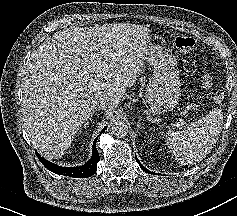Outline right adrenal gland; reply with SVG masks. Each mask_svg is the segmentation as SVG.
Here are the masks:
<instances>
[{"label": "right adrenal gland", "mask_w": 237, "mask_h": 216, "mask_svg": "<svg viewBox=\"0 0 237 216\" xmlns=\"http://www.w3.org/2000/svg\"><path fill=\"white\" fill-rule=\"evenodd\" d=\"M92 121V120H91ZM91 121H88L87 123L84 124V128H86L87 126H89L91 124Z\"/></svg>", "instance_id": "1"}]
</instances>
